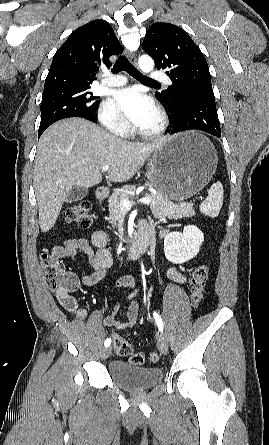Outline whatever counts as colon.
<instances>
[{
	"label": "colon",
	"instance_id": "obj_1",
	"mask_svg": "<svg viewBox=\"0 0 269 445\" xmlns=\"http://www.w3.org/2000/svg\"><path fill=\"white\" fill-rule=\"evenodd\" d=\"M66 221L74 223L80 228H87L92 222L91 205L82 201L72 205L66 211ZM41 266L46 285L51 289H57L69 295L77 287L76 282L64 270L61 262L52 257L48 252L41 255ZM209 277V268L206 264H199L192 272L190 299L193 307L197 308L203 301L205 286ZM68 302V300L66 299ZM115 352L122 357H128L133 365H141L147 359L151 363L159 360L156 352H150L147 356L142 353H134L132 345L121 336H113Z\"/></svg>",
	"mask_w": 269,
	"mask_h": 445
}]
</instances>
